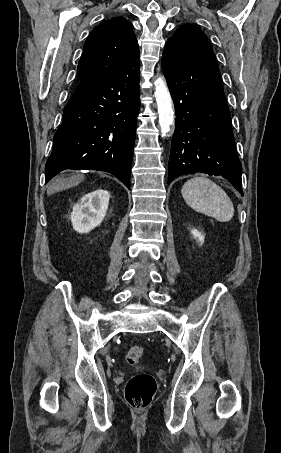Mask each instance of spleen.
Returning <instances> with one entry per match:
<instances>
[{
	"mask_svg": "<svg viewBox=\"0 0 281 453\" xmlns=\"http://www.w3.org/2000/svg\"><path fill=\"white\" fill-rule=\"evenodd\" d=\"M182 196L188 206L213 216L220 222H228L233 218L234 206L225 190L215 184L206 176H195L190 178L182 186Z\"/></svg>",
	"mask_w": 281,
	"mask_h": 453,
	"instance_id": "3e777b00",
	"label": "spleen"
}]
</instances>
